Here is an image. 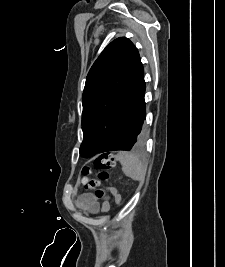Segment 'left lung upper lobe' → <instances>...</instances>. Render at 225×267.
I'll use <instances>...</instances> for the list:
<instances>
[{
	"label": "left lung upper lobe",
	"mask_w": 225,
	"mask_h": 267,
	"mask_svg": "<svg viewBox=\"0 0 225 267\" xmlns=\"http://www.w3.org/2000/svg\"><path fill=\"white\" fill-rule=\"evenodd\" d=\"M140 63L134 44L125 37L112 41L102 51L86 78L82 97L83 142L80 154L92 157L106 144L129 82ZM145 139L143 126L137 146Z\"/></svg>",
	"instance_id": "obj_1"
}]
</instances>
